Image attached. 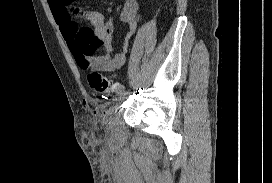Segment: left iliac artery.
I'll return each mask as SVG.
<instances>
[{
  "label": "left iliac artery",
  "mask_w": 272,
  "mask_h": 183,
  "mask_svg": "<svg viewBox=\"0 0 272 183\" xmlns=\"http://www.w3.org/2000/svg\"><path fill=\"white\" fill-rule=\"evenodd\" d=\"M117 93H118V94L126 93L125 87H124V86H120V87L118 88V90H117Z\"/></svg>",
  "instance_id": "1"
}]
</instances>
